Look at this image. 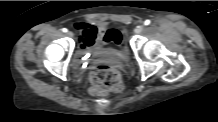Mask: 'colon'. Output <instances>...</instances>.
<instances>
[{"label":"colon","instance_id":"1","mask_svg":"<svg viewBox=\"0 0 218 122\" xmlns=\"http://www.w3.org/2000/svg\"><path fill=\"white\" fill-rule=\"evenodd\" d=\"M102 42L109 48L117 49L122 46L124 37L120 29L109 28L103 31ZM90 81L96 93L120 91L123 86L119 72L107 61H98L92 66Z\"/></svg>","mask_w":218,"mask_h":122}]
</instances>
